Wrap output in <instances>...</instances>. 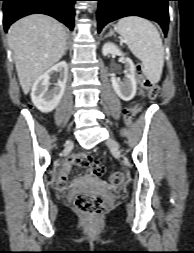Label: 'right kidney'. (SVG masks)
Masks as SVG:
<instances>
[{"mask_svg": "<svg viewBox=\"0 0 194 253\" xmlns=\"http://www.w3.org/2000/svg\"><path fill=\"white\" fill-rule=\"evenodd\" d=\"M54 73H59V78L55 87L49 89L50 78ZM68 78V65L61 61L48 69L33 84L31 99L33 104L43 113L53 111L59 104L66 87Z\"/></svg>", "mask_w": 194, "mask_h": 253, "instance_id": "1", "label": "right kidney"}]
</instances>
